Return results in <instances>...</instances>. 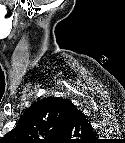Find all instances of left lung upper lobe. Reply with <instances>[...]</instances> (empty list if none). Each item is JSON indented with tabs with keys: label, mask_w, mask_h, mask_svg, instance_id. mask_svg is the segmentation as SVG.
<instances>
[{
	"label": "left lung upper lobe",
	"mask_w": 125,
	"mask_h": 143,
	"mask_svg": "<svg viewBox=\"0 0 125 143\" xmlns=\"http://www.w3.org/2000/svg\"><path fill=\"white\" fill-rule=\"evenodd\" d=\"M69 102L57 97H48L33 103L24 112L17 126L4 138L39 143V139H54L64 135L72 126H75L74 123L87 125L84 116L77 118L71 126L67 125L66 113ZM74 130L75 127H73L72 135Z\"/></svg>",
	"instance_id": "obj_1"
}]
</instances>
